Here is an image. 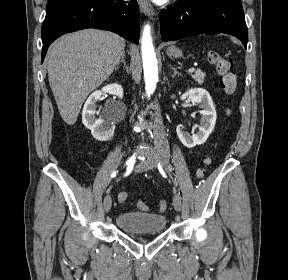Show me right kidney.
Wrapping results in <instances>:
<instances>
[{
	"mask_svg": "<svg viewBox=\"0 0 288 280\" xmlns=\"http://www.w3.org/2000/svg\"><path fill=\"white\" fill-rule=\"evenodd\" d=\"M102 93H108L121 99L123 88L121 85L114 83L93 92L84 104L82 122L86 128L91 130V134L96 140L107 141L113 136L115 126L104 118H96V115H98L96 102L100 99Z\"/></svg>",
	"mask_w": 288,
	"mask_h": 280,
	"instance_id": "ca27d5eb",
	"label": "right kidney"
}]
</instances>
